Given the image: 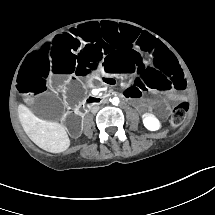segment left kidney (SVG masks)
Segmentation results:
<instances>
[{
    "mask_svg": "<svg viewBox=\"0 0 215 215\" xmlns=\"http://www.w3.org/2000/svg\"><path fill=\"white\" fill-rule=\"evenodd\" d=\"M143 124L150 131H156L160 128L159 120L152 115H145L143 119Z\"/></svg>",
    "mask_w": 215,
    "mask_h": 215,
    "instance_id": "5707ae66",
    "label": "left kidney"
}]
</instances>
